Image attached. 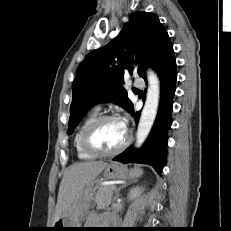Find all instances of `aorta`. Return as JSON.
Returning a JSON list of instances; mask_svg holds the SVG:
<instances>
[{
  "instance_id": "aorta-1",
  "label": "aorta",
  "mask_w": 231,
  "mask_h": 231,
  "mask_svg": "<svg viewBox=\"0 0 231 231\" xmlns=\"http://www.w3.org/2000/svg\"><path fill=\"white\" fill-rule=\"evenodd\" d=\"M148 89L145 104L140 116L137 132L136 143L137 148L141 147L147 139L154 121L157 116L159 100H160V81L158 76L152 70L147 71Z\"/></svg>"
}]
</instances>
